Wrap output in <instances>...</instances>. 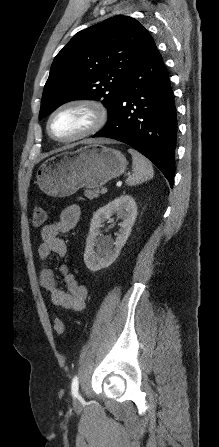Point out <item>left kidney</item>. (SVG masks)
Returning a JSON list of instances; mask_svg holds the SVG:
<instances>
[{"label": "left kidney", "instance_id": "obj_1", "mask_svg": "<svg viewBox=\"0 0 219 447\" xmlns=\"http://www.w3.org/2000/svg\"><path fill=\"white\" fill-rule=\"evenodd\" d=\"M114 213L123 220L116 241L112 242L103 236L98 238L103 223L110 219ZM136 217V202L129 195H121L93 214L84 253V262L90 271H99L110 266L116 260L131 233Z\"/></svg>", "mask_w": 219, "mask_h": 447}]
</instances>
